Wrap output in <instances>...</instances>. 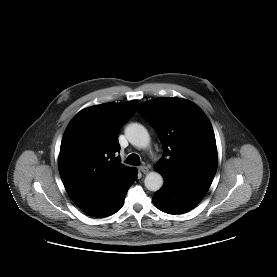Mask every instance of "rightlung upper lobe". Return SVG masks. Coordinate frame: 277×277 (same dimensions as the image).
I'll use <instances>...</instances> for the list:
<instances>
[{
	"label": "right lung upper lobe",
	"instance_id": "1",
	"mask_svg": "<svg viewBox=\"0 0 277 277\" xmlns=\"http://www.w3.org/2000/svg\"><path fill=\"white\" fill-rule=\"evenodd\" d=\"M136 100L105 103L79 112L67 126L58 167L65 189L81 209L112 190L132 170L120 161L117 134L135 113Z\"/></svg>",
	"mask_w": 277,
	"mask_h": 277
}]
</instances>
